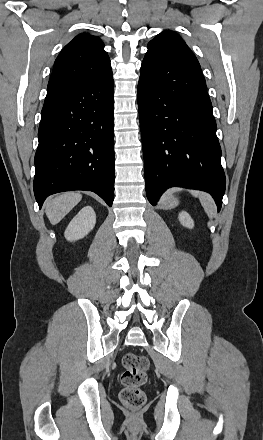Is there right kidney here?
<instances>
[{
    "instance_id": "ca27d5eb",
    "label": "right kidney",
    "mask_w": 263,
    "mask_h": 440,
    "mask_svg": "<svg viewBox=\"0 0 263 440\" xmlns=\"http://www.w3.org/2000/svg\"><path fill=\"white\" fill-rule=\"evenodd\" d=\"M96 214L91 206L82 208L71 220L65 230L64 236L68 241L84 238L95 226Z\"/></svg>"
}]
</instances>
